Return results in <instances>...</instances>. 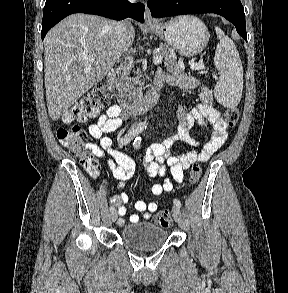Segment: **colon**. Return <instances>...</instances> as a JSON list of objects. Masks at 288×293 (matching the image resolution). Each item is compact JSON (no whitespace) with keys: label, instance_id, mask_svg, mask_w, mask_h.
Here are the masks:
<instances>
[{"label":"colon","instance_id":"colon-1","mask_svg":"<svg viewBox=\"0 0 288 293\" xmlns=\"http://www.w3.org/2000/svg\"><path fill=\"white\" fill-rule=\"evenodd\" d=\"M108 99L109 95L103 84L94 86L63 113L61 120L66 126H61L56 131L58 141L80 161L82 167L92 176L98 174L99 162L88 143L86 131L78 123L96 115L108 102ZM239 118L240 112L236 107L228 108L224 112V120L230 127L235 126ZM201 175V167L193 165L189 175L190 183H198ZM155 223L168 227L171 224L170 211L166 209L159 211L155 216Z\"/></svg>","mask_w":288,"mask_h":293}]
</instances>
